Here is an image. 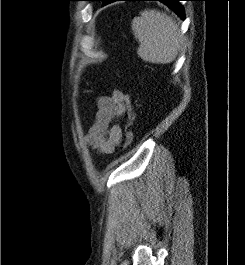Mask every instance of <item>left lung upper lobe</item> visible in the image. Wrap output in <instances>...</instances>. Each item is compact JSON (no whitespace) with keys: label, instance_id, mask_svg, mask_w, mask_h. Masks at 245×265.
Segmentation results:
<instances>
[{"label":"left lung upper lobe","instance_id":"1","mask_svg":"<svg viewBox=\"0 0 245 265\" xmlns=\"http://www.w3.org/2000/svg\"><path fill=\"white\" fill-rule=\"evenodd\" d=\"M92 1H103L104 2L105 0H92Z\"/></svg>","mask_w":245,"mask_h":265}]
</instances>
